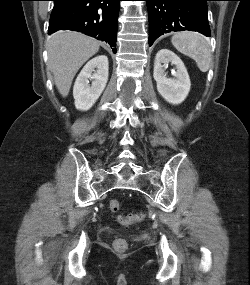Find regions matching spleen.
<instances>
[{
  "label": "spleen",
  "instance_id": "spleen-1",
  "mask_svg": "<svg viewBox=\"0 0 250 285\" xmlns=\"http://www.w3.org/2000/svg\"><path fill=\"white\" fill-rule=\"evenodd\" d=\"M173 46L182 54L192 58L202 72H207L211 62V47L207 39L191 31L179 32L171 38Z\"/></svg>",
  "mask_w": 250,
  "mask_h": 285
}]
</instances>
